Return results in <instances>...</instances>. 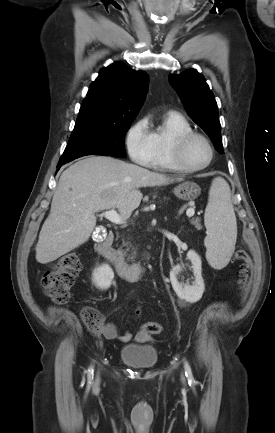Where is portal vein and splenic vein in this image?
<instances>
[{
	"label": "portal vein and splenic vein",
	"instance_id": "obj_1",
	"mask_svg": "<svg viewBox=\"0 0 275 433\" xmlns=\"http://www.w3.org/2000/svg\"><path fill=\"white\" fill-rule=\"evenodd\" d=\"M195 211L193 208H189L186 211V215L188 217H192L194 215ZM103 216L109 220L110 222L114 223V224H123L124 220L123 218H121V216L114 210H109L103 213Z\"/></svg>",
	"mask_w": 275,
	"mask_h": 433
}]
</instances>
